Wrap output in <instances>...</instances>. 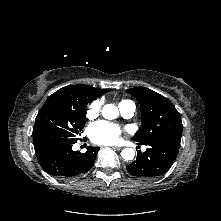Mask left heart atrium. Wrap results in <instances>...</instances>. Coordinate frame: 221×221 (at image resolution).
Instances as JSON below:
<instances>
[{
    "label": "left heart atrium",
    "instance_id": "39dd6f15",
    "mask_svg": "<svg viewBox=\"0 0 221 221\" xmlns=\"http://www.w3.org/2000/svg\"><path fill=\"white\" fill-rule=\"evenodd\" d=\"M121 134V128L113 123L98 121L93 123L89 128L91 140L98 144H113Z\"/></svg>",
    "mask_w": 221,
    "mask_h": 221
}]
</instances>
